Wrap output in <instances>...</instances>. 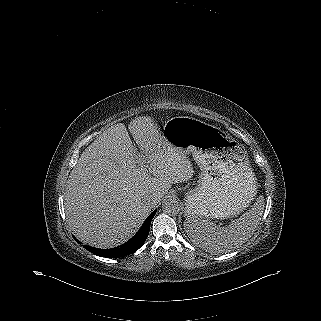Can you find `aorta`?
<instances>
[{"label": "aorta", "mask_w": 321, "mask_h": 321, "mask_svg": "<svg viewBox=\"0 0 321 321\" xmlns=\"http://www.w3.org/2000/svg\"><path fill=\"white\" fill-rule=\"evenodd\" d=\"M162 209L166 214L176 215L181 210V204L176 198L168 197L164 200Z\"/></svg>", "instance_id": "aorta-1"}]
</instances>
